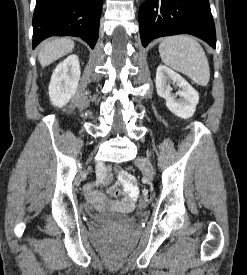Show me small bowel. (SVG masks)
Returning a JSON list of instances; mask_svg holds the SVG:
<instances>
[{"label": "small bowel", "instance_id": "1", "mask_svg": "<svg viewBox=\"0 0 247 275\" xmlns=\"http://www.w3.org/2000/svg\"><path fill=\"white\" fill-rule=\"evenodd\" d=\"M115 171L117 173L118 183L111 185L108 188V193L114 197L123 194V198L117 202L116 206L121 211L128 212L133 209L138 199L139 190L134 177L130 173L121 168H116ZM111 178V174L109 173L102 181L96 180L88 183L84 187V194L93 205L101 207L105 204V196L99 188L109 184Z\"/></svg>", "mask_w": 247, "mask_h": 275}]
</instances>
